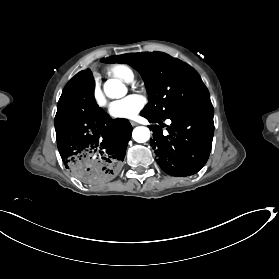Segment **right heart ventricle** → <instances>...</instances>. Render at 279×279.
<instances>
[{
    "instance_id": "1",
    "label": "right heart ventricle",
    "mask_w": 279,
    "mask_h": 279,
    "mask_svg": "<svg viewBox=\"0 0 279 279\" xmlns=\"http://www.w3.org/2000/svg\"><path fill=\"white\" fill-rule=\"evenodd\" d=\"M105 73L121 82L130 83L134 79V73L130 67L123 64H113L105 69Z\"/></svg>"
}]
</instances>
